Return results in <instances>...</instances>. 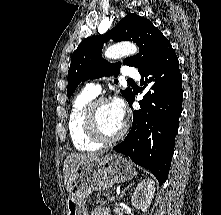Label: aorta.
<instances>
[{
  "mask_svg": "<svg viewBox=\"0 0 221 215\" xmlns=\"http://www.w3.org/2000/svg\"><path fill=\"white\" fill-rule=\"evenodd\" d=\"M137 52L138 48L135 44L130 42H121L108 47L104 55L107 59L115 60Z\"/></svg>",
  "mask_w": 221,
  "mask_h": 215,
  "instance_id": "762f6f07",
  "label": "aorta"
}]
</instances>
